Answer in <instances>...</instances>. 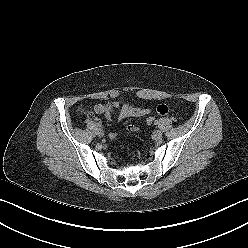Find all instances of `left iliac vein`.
<instances>
[{
    "mask_svg": "<svg viewBox=\"0 0 248 248\" xmlns=\"http://www.w3.org/2000/svg\"><path fill=\"white\" fill-rule=\"evenodd\" d=\"M153 138L156 141H159L162 138V132L160 130H157L153 134Z\"/></svg>",
    "mask_w": 248,
    "mask_h": 248,
    "instance_id": "4c4485c4",
    "label": "left iliac vein"
}]
</instances>
